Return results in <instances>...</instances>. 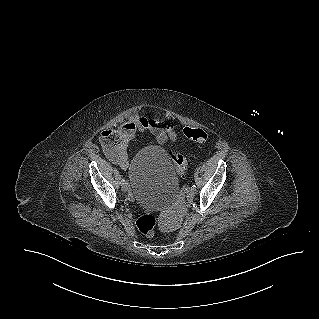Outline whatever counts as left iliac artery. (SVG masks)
<instances>
[{
    "instance_id": "left-iliac-artery-1",
    "label": "left iliac artery",
    "mask_w": 319,
    "mask_h": 319,
    "mask_svg": "<svg viewBox=\"0 0 319 319\" xmlns=\"http://www.w3.org/2000/svg\"><path fill=\"white\" fill-rule=\"evenodd\" d=\"M193 190H196V185H192L191 187Z\"/></svg>"
}]
</instances>
